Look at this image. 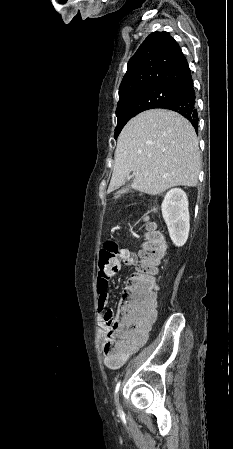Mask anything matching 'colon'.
Returning a JSON list of instances; mask_svg holds the SVG:
<instances>
[{
	"label": "colon",
	"mask_w": 233,
	"mask_h": 449,
	"mask_svg": "<svg viewBox=\"0 0 233 449\" xmlns=\"http://www.w3.org/2000/svg\"><path fill=\"white\" fill-rule=\"evenodd\" d=\"M165 240L161 233L150 231L146 235L144 247L140 252L142 264L133 274L123 291L121 318L114 317L111 311L104 315L108 328L107 341L103 348L104 361L111 366L122 365L125 361L126 346L115 344L118 335L130 342L139 329V323L147 321L157 312V269L163 258ZM117 243L106 242L100 251L98 272V294H107L109 287L108 270L115 268L120 255L125 253Z\"/></svg>",
	"instance_id": "5ec220e1"
}]
</instances>
